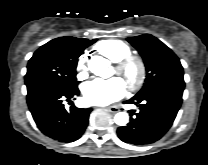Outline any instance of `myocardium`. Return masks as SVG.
<instances>
[{
  "instance_id": "1",
  "label": "myocardium",
  "mask_w": 208,
  "mask_h": 165,
  "mask_svg": "<svg viewBox=\"0 0 208 165\" xmlns=\"http://www.w3.org/2000/svg\"><path fill=\"white\" fill-rule=\"evenodd\" d=\"M131 65H136L137 75L134 79L126 82L130 91H136L142 87L146 79V65L142 57L129 54L115 62L114 69L117 75H123Z\"/></svg>"
}]
</instances>
